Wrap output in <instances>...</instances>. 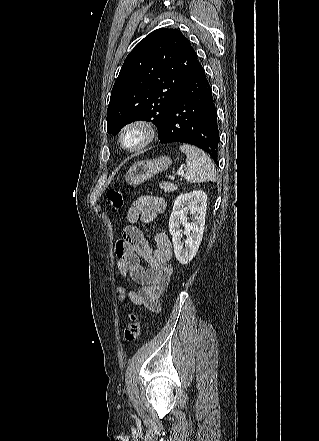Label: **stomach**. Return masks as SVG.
<instances>
[{"mask_svg": "<svg viewBox=\"0 0 319 441\" xmlns=\"http://www.w3.org/2000/svg\"><path fill=\"white\" fill-rule=\"evenodd\" d=\"M171 163V159L167 156L136 162L130 166L125 174V181L129 185H139L153 175L167 170Z\"/></svg>", "mask_w": 319, "mask_h": 441, "instance_id": "1", "label": "stomach"}]
</instances>
